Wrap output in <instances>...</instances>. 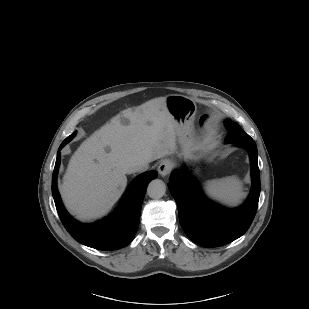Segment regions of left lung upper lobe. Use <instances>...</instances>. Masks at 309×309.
<instances>
[{
  "mask_svg": "<svg viewBox=\"0 0 309 309\" xmlns=\"http://www.w3.org/2000/svg\"><path fill=\"white\" fill-rule=\"evenodd\" d=\"M224 125L228 130V135L225 139L226 142H230L233 139L250 138V136L245 131H243L236 123L230 120H226Z\"/></svg>",
  "mask_w": 309,
  "mask_h": 309,
  "instance_id": "5c2ea615",
  "label": "left lung upper lobe"
}]
</instances>
